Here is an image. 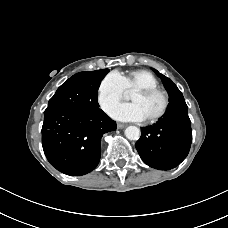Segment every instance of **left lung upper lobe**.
Masks as SVG:
<instances>
[{
  "instance_id": "obj_1",
  "label": "left lung upper lobe",
  "mask_w": 228,
  "mask_h": 228,
  "mask_svg": "<svg viewBox=\"0 0 228 228\" xmlns=\"http://www.w3.org/2000/svg\"><path fill=\"white\" fill-rule=\"evenodd\" d=\"M157 75L163 80L164 86L166 87L168 94H169V101L173 99L183 96L181 91L177 88V86L166 76L159 73L157 70H154Z\"/></svg>"
}]
</instances>
